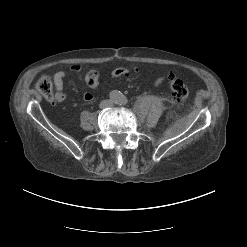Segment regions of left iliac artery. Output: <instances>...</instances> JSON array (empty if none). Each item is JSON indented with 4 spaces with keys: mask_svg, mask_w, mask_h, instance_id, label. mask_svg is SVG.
<instances>
[{
    "mask_svg": "<svg viewBox=\"0 0 247 247\" xmlns=\"http://www.w3.org/2000/svg\"><path fill=\"white\" fill-rule=\"evenodd\" d=\"M120 103H121L122 105H125V104H127V103H128V100H127V98H126V97H122V98H121V101H120Z\"/></svg>",
    "mask_w": 247,
    "mask_h": 247,
    "instance_id": "44dca946",
    "label": "left iliac artery"
}]
</instances>
